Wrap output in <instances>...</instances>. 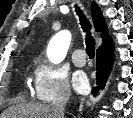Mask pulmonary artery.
<instances>
[{"label":"pulmonary artery","mask_w":133,"mask_h":118,"mask_svg":"<svg viewBox=\"0 0 133 118\" xmlns=\"http://www.w3.org/2000/svg\"><path fill=\"white\" fill-rule=\"evenodd\" d=\"M72 61L73 63L78 66L82 67L86 64L85 52L82 49H76L72 53Z\"/></svg>","instance_id":"pulmonary-artery-1"}]
</instances>
